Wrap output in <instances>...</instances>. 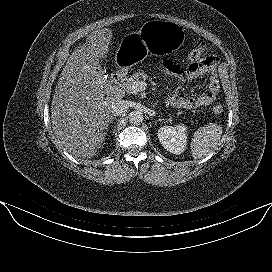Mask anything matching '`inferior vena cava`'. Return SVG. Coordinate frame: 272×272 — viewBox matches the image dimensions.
Wrapping results in <instances>:
<instances>
[{"mask_svg":"<svg viewBox=\"0 0 272 272\" xmlns=\"http://www.w3.org/2000/svg\"><path fill=\"white\" fill-rule=\"evenodd\" d=\"M128 108V101L122 99H117L111 104V112L114 116L125 114Z\"/></svg>","mask_w":272,"mask_h":272,"instance_id":"1","label":"inferior vena cava"}]
</instances>
